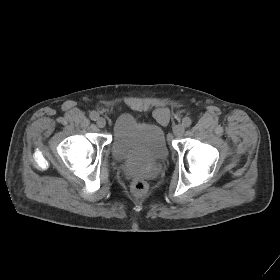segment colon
Returning a JSON list of instances; mask_svg holds the SVG:
<instances>
[{
	"label": "colon",
	"instance_id": "colon-1",
	"mask_svg": "<svg viewBox=\"0 0 280 280\" xmlns=\"http://www.w3.org/2000/svg\"><path fill=\"white\" fill-rule=\"evenodd\" d=\"M148 189L147 183L142 179H136L132 183V190L136 195H143Z\"/></svg>",
	"mask_w": 280,
	"mask_h": 280
}]
</instances>
